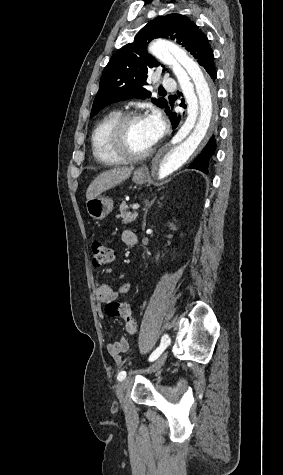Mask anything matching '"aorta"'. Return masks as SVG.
<instances>
[{"label": "aorta", "instance_id": "1", "mask_svg": "<svg viewBox=\"0 0 283 475\" xmlns=\"http://www.w3.org/2000/svg\"><path fill=\"white\" fill-rule=\"evenodd\" d=\"M149 52L172 66L187 102L185 122L152 161L153 179L163 181L198 154L218 113L212 81L185 50L173 42L158 39L149 46ZM175 60L184 67L187 75L175 64Z\"/></svg>", "mask_w": 283, "mask_h": 475}]
</instances>
